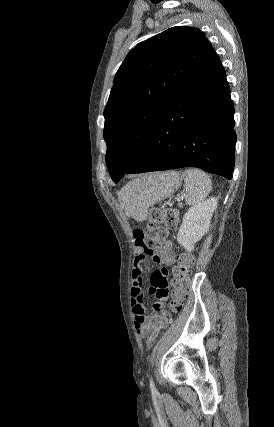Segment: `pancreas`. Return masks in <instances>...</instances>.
Instances as JSON below:
<instances>
[{
  "label": "pancreas",
  "mask_w": 274,
  "mask_h": 427,
  "mask_svg": "<svg viewBox=\"0 0 274 427\" xmlns=\"http://www.w3.org/2000/svg\"><path fill=\"white\" fill-rule=\"evenodd\" d=\"M179 208H182V204H179Z\"/></svg>",
  "instance_id": "1"
}]
</instances>
